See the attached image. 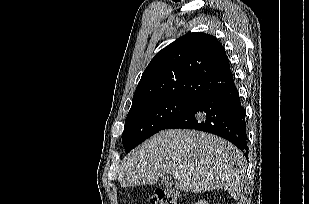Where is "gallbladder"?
Masks as SVG:
<instances>
[{"instance_id":"1","label":"gallbladder","mask_w":309,"mask_h":204,"mask_svg":"<svg viewBox=\"0 0 309 204\" xmlns=\"http://www.w3.org/2000/svg\"><path fill=\"white\" fill-rule=\"evenodd\" d=\"M161 183L165 187H171L173 185V178L170 175H165L162 177Z\"/></svg>"}]
</instances>
